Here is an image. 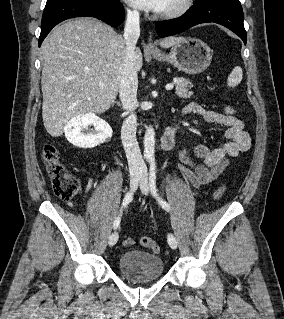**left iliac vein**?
<instances>
[{"instance_id": "1", "label": "left iliac vein", "mask_w": 284, "mask_h": 319, "mask_svg": "<svg viewBox=\"0 0 284 319\" xmlns=\"http://www.w3.org/2000/svg\"><path fill=\"white\" fill-rule=\"evenodd\" d=\"M139 186L142 193L147 195L149 192V184H148V174L145 167L142 168L140 173ZM167 239H168L169 246L172 249H176L178 244L176 237L172 233H169Z\"/></svg>"}]
</instances>
